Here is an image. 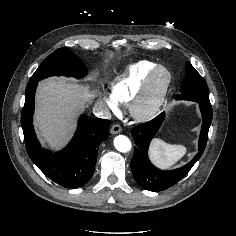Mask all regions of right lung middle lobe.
<instances>
[{
  "instance_id": "right-lung-middle-lobe-1",
  "label": "right lung middle lobe",
  "mask_w": 236,
  "mask_h": 236,
  "mask_svg": "<svg viewBox=\"0 0 236 236\" xmlns=\"http://www.w3.org/2000/svg\"><path fill=\"white\" fill-rule=\"evenodd\" d=\"M87 70L80 59L67 48L55 50L34 72L28 85L49 76H72L82 77Z\"/></svg>"
}]
</instances>
